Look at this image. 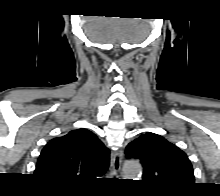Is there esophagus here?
Segmentation results:
<instances>
[{"mask_svg":"<svg viewBox=\"0 0 220 196\" xmlns=\"http://www.w3.org/2000/svg\"><path fill=\"white\" fill-rule=\"evenodd\" d=\"M123 161V151L121 149L114 150L111 153V175L117 178L121 176V166Z\"/></svg>","mask_w":220,"mask_h":196,"instance_id":"obj_1","label":"esophagus"}]
</instances>
